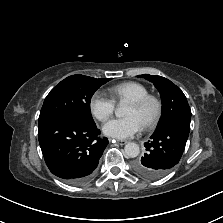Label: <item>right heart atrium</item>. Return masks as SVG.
Masks as SVG:
<instances>
[{
    "label": "right heart atrium",
    "mask_w": 223,
    "mask_h": 223,
    "mask_svg": "<svg viewBox=\"0 0 223 223\" xmlns=\"http://www.w3.org/2000/svg\"><path fill=\"white\" fill-rule=\"evenodd\" d=\"M90 110L101 122L108 120L115 110V101L102 92H96L90 99Z\"/></svg>",
    "instance_id": "obj_1"
}]
</instances>
